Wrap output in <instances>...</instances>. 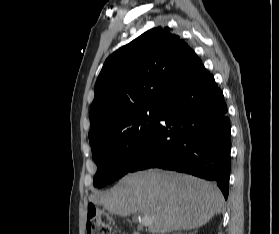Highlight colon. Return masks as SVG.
<instances>
[{
    "mask_svg": "<svg viewBox=\"0 0 279 234\" xmlns=\"http://www.w3.org/2000/svg\"><path fill=\"white\" fill-rule=\"evenodd\" d=\"M111 214L107 211L91 206L87 217V234H110Z\"/></svg>",
    "mask_w": 279,
    "mask_h": 234,
    "instance_id": "1",
    "label": "colon"
}]
</instances>
